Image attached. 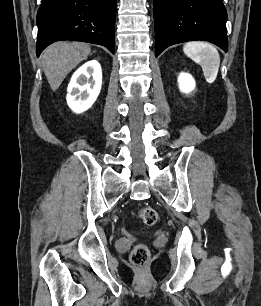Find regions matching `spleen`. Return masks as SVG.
<instances>
[{
  "label": "spleen",
  "mask_w": 261,
  "mask_h": 306,
  "mask_svg": "<svg viewBox=\"0 0 261 306\" xmlns=\"http://www.w3.org/2000/svg\"><path fill=\"white\" fill-rule=\"evenodd\" d=\"M184 53L202 67L204 77L208 83H213L218 75L220 55L210 43L193 41L183 46Z\"/></svg>",
  "instance_id": "obj_1"
}]
</instances>
